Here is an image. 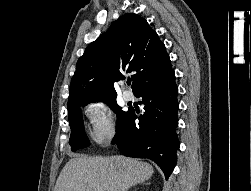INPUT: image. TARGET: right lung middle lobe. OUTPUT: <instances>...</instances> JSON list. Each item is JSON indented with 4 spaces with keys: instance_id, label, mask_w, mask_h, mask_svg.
Masks as SVG:
<instances>
[{
    "instance_id": "dd1d6c3e",
    "label": "right lung middle lobe",
    "mask_w": 251,
    "mask_h": 191,
    "mask_svg": "<svg viewBox=\"0 0 251 191\" xmlns=\"http://www.w3.org/2000/svg\"><path fill=\"white\" fill-rule=\"evenodd\" d=\"M109 107L117 114L116 130L123 124L131 112L129 109L127 112L122 111L116 103V99L105 101ZM81 106H75L68 108L69 124L71 128V136L69 144L72 151L87 147L90 145L89 139L84 131L83 118Z\"/></svg>"
}]
</instances>
